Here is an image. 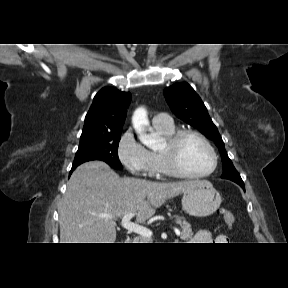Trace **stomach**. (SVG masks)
I'll return each instance as SVG.
<instances>
[{"mask_svg":"<svg viewBox=\"0 0 288 288\" xmlns=\"http://www.w3.org/2000/svg\"><path fill=\"white\" fill-rule=\"evenodd\" d=\"M222 202L219 192L210 182L200 181L183 193L182 207L191 216L206 217L213 214Z\"/></svg>","mask_w":288,"mask_h":288,"instance_id":"0dacf381","label":"stomach"}]
</instances>
